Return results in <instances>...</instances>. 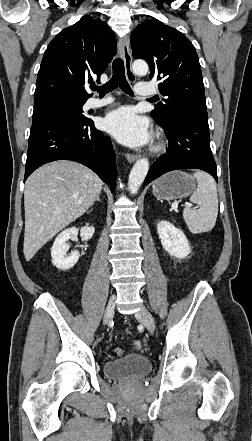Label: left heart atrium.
I'll return each instance as SVG.
<instances>
[{
	"mask_svg": "<svg viewBox=\"0 0 252 441\" xmlns=\"http://www.w3.org/2000/svg\"><path fill=\"white\" fill-rule=\"evenodd\" d=\"M104 127L121 143L138 147L151 141L148 121L131 107H121L110 112L104 119Z\"/></svg>",
	"mask_w": 252,
	"mask_h": 441,
	"instance_id": "left-heart-atrium-1",
	"label": "left heart atrium"
}]
</instances>
